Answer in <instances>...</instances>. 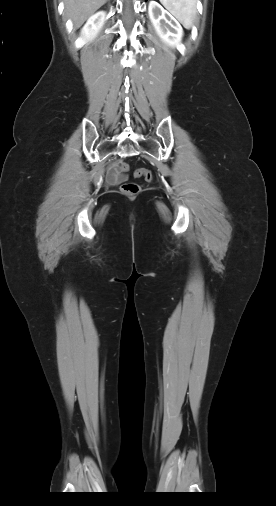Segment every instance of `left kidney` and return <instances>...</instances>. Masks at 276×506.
I'll return each instance as SVG.
<instances>
[{
	"mask_svg": "<svg viewBox=\"0 0 276 506\" xmlns=\"http://www.w3.org/2000/svg\"><path fill=\"white\" fill-rule=\"evenodd\" d=\"M150 20L162 42L177 47L182 39L183 30L180 24L156 1L148 6Z\"/></svg>",
	"mask_w": 276,
	"mask_h": 506,
	"instance_id": "left-kidney-1",
	"label": "left kidney"
}]
</instances>
